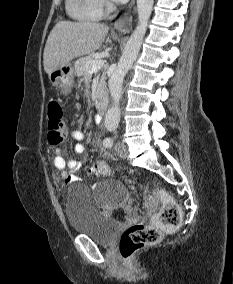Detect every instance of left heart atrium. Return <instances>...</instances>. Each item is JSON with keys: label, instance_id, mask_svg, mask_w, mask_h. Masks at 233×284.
Instances as JSON below:
<instances>
[{"label": "left heart atrium", "instance_id": "39dd6f15", "mask_svg": "<svg viewBox=\"0 0 233 284\" xmlns=\"http://www.w3.org/2000/svg\"><path fill=\"white\" fill-rule=\"evenodd\" d=\"M114 1L119 2V3H124V2H126L127 0H114Z\"/></svg>", "mask_w": 233, "mask_h": 284}]
</instances>
